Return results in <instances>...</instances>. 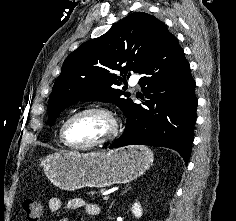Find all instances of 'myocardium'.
<instances>
[{"label":"myocardium","instance_id":"f54148a6","mask_svg":"<svg viewBox=\"0 0 236 221\" xmlns=\"http://www.w3.org/2000/svg\"><path fill=\"white\" fill-rule=\"evenodd\" d=\"M87 113H101V114H104L105 116H107L111 122V131L105 138L95 141L93 143L86 144V145L72 144L71 142H69L67 135H66L67 127H68L69 123L72 120H74L76 117L81 116L83 114H87ZM120 129H121V124H120V120H119L118 116L116 115V113L108 107L96 105V106H89V107L83 108V109L73 113L72 115H70L61 126L60 137H61L62 142L67 147H69L71 149L89 150V149H93L96 147L104 146V145L114 141L117 138V136L120 132Z\"/></svg>","mask_w":236,"mask_h":221}]
</instances>
